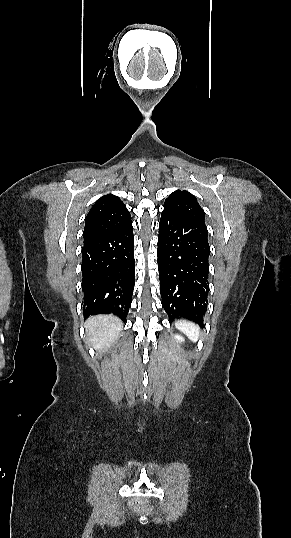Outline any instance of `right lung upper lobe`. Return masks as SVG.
Listing matches in <instances>:
<instances>
[{
    "mask_svg": "<svg viewBox=\"0 0 291 538\" xmlns=\"http://www.w3.org/2000/svg\"><path fill=\"white\" fill-rule=\"evenodd\" d=\"M130 221L131 215L119 197L112 194L105 195L95 202L87 214L83 238L113 231Z\"/></svg>",
    "mask_w": 291,
    "mask_h": 538,
    "instance_id": "1",
    "label": "right lung upper lobe"
}]
</instances>
